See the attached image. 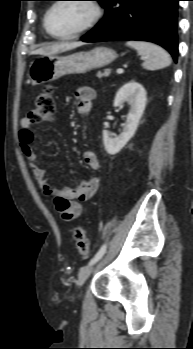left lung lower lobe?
I'll return each instance as SVG.
<instances>
[{
  "mask_svg": "<svg viewBox=\"0 0 193 349\" xmlns=\"http://www.w3.org/2000/svg\"><path fill=\"white\" fill-rule=\"evenodd\" d=\"M178 1L108 0L103 21L82 36V41H150L167 49L177 61Z\"/></svg>",
  "mask_w": 193,
  "mask_h": 349,
  "instance_id": "left-lung-lower-lobe-1",
  "label": "left lung lower lobe"
}]
</instances>
